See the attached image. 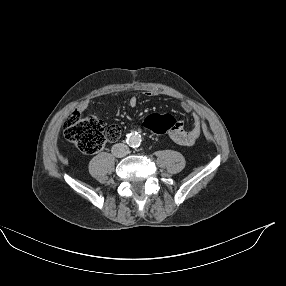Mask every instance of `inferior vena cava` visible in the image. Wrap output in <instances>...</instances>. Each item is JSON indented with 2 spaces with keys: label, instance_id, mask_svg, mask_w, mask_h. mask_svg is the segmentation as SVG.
Listing matches in <instances>:
<instances>
[{
  "label": "inferior vena cava",
  "instance_id": "obj_1",
  "mask_svg": "<svg viewBox=\"0 0 286 286\" xmlns=\"http://www.w3.org/2000/svg\"><path fill=\"white\" fill-rule=\"evenodd\" d=\"M111 152L114 156L121 158L129 154V147L123 143H117L112 146Z\"/></svg>",
  "mask_w": 286,
  "mask_h": 286
}]
</instances>
